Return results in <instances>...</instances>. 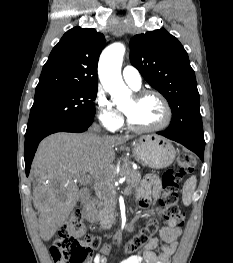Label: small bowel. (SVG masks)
<instances>
[{
    "instance_id": "small-bowel-1",
    "label": "small bowel",
    "mask_w": 233,
    "mask_h": 263,
    "mask_svg": "<svg viewBox=\"0 0 233 263\" xmlns=\"http://www.w3.org/2000/svg\"><path fill=\"white\" fill-rule=\"evenodd\" d=\"M160 196V179L155 175L146 176L136 194L139 207L142 210L148 209L150 202L158 201ZM180 235L181 228L177 222L167 219L159 237L152 238L139 253L116 262H109L104 255L97 254L92 263H170Z\"/></svg>"
}]
</instances>
